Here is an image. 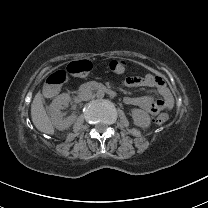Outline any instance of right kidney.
<instances>
[{
  "mask_svg": "<svg viewBox=\"0 0 208 208\" xmlns=\"http://www.w3.org/2000/svg\"><path fill=\"white\" fill-rule=\"evenodd\" d=\"M71 98L68 94L57 96L50 105V115L54 127L60 131L67 130L75 123L76 115H71L68 118H63L61 110L66 108Z\"/></svg>",
  "mask_w": 208,
  "mask_h": 208,
  "instance_id": "ca27d5eb",
  "label": "right kidney"
}]
</instances>
